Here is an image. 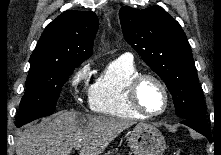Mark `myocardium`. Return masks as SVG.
<instances>
[{"label": "myocardium", "instance_id": "1", "mask_svg": "<svg viewBox=\"0 0 221 155\" xmlns=\"http://www.w3.org/2000/svg\"><path fill=\"white\" fill-rule=\"evenodd\" d=\"M146 80H151V81L155 82L160 87V89L164 95V100H165L164 107L162 108V110H160L158 112L147 111L142 106V104L139 100V89H140L142 83ZM126 92H127V99H128V102H129V105L131 106V108L145 117L160 116V115L164 114L167 111V109L169 108V104H170L169 91H168L165 83L159 77H157L153 74H150V73L137 74L129 82Z\"/></svg>", "mask_w": 221, "mask_h": 155}]
</instances>
